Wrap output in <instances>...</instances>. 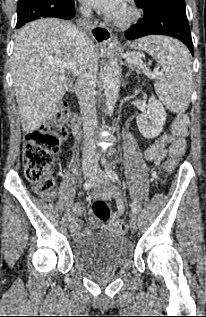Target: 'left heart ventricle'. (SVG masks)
<instances>
[{"mask_svg": "<svg viewBox=\"0 0 206 317\" xmlns=\"http://www.w3.org/2000/svg\"><path fill=\"white\" fill-rule=\"evenodd\" d=\"M123 10H124V7L120 10V12H119L118 15L122 14V13H123Z\"/></svg>", "mask_w": 206, "mask_h": 317, "instance_id": "obj_1", "label": "left heart ventricle"}]
</instances>
